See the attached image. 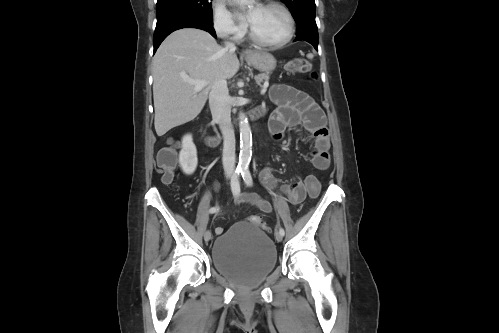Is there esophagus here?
Returning a JSON list of instances; mask_svg holds the SVG:
<instances>
[{
    "label": "esophagus",
    "mask_w": 499,
    "mask_h": 333,
    "mask_svg": "<svg viewBox=\"0 0 499 333\" xmlns=\"http://www.w3.org/2000/svg\"><path fill=\"white\" fill-rule=\"evenodd\" d=\"M249 51H243V55H248Z\"/></svg>",
    "instance_id": "1"
}]
</instances>
